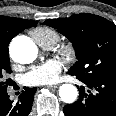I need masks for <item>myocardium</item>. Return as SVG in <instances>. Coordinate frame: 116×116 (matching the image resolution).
Here are the masks:
<instances>
[{
	"mask_svg": "<svg viewBox=\"0 0 116 116\" xmlns=\"http://www.w3.org/2000/svg\"><path fill=\"white\" fill-rule=\"evenodd\" d=\"M58 51L67 59H72L75 55L74 47L71 44H61Z\"/></svg>",
	"mask_w": 116,
	"mask_h": 116,
	"instance_id": "myocardium-1",
	"label": "myocardium"
}]
</instances>
